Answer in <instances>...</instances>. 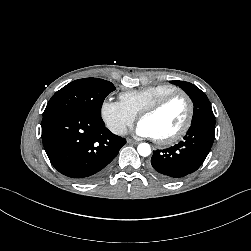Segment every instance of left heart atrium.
<instances>
[{
    "label": "left heart atrium",
    "instance_id": "left-heart-atrium-1",
    "mask_svg": "<svg viewBox=\"0 0 251 251\" xmlns=\"http://www.w3.org/2000/svg\"><path fill=\"white\" fill-rule=\"evenodd\" d=\"M136 134L140 137L155 138L151 129L143 123H139L136 128Z\"/></svg>",
    "mask_w": 251,
    "mask_h": 251
}]
</instances>
